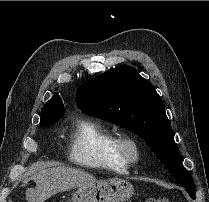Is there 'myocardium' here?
<instances>
[{"instance_id":"1","label":"myocardium","mask_w":209,"mask_h":202,"mask_svg":"<svg viewBox=\"0 0 209 202\" xmlns=\"http://www.w3.org/2000/svg\"><path fill=\"white\" fill-rule=\"evenodd\" d=\"M115 154L130 163H135L140 157V144L131 134H121L115 139L113 146Z\"/></svg>"}]
</instances>
